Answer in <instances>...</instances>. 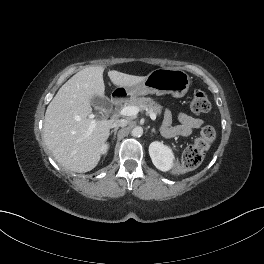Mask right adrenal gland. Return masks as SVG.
<instances>
[{
	"label": "right adrenal gland",
	"mask_w": 264,
	"mask_h": 264,
	"mask_svg": "<svg viewBox=\"0 0 264 264\" xmlns=\"http://www.w3.org/2000/svg\"><path fill=\"white\" fill-rule=\"evenodd\" d=\"M117 130H118V128H115L114 130H112L111 132H110V134L109 135H112V134H114V138H113V141L115 140V138H116V133H117Z\"/></svg>",
	"instance_id": "2a0ac1e0"
}]
</instances>
